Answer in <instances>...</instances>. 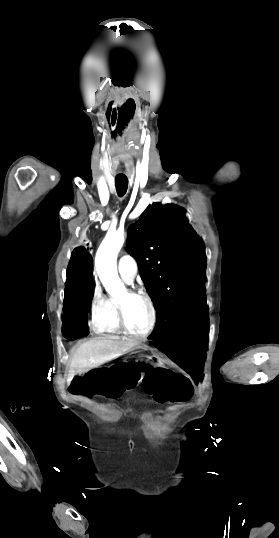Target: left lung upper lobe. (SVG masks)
<instances>
[{"label":"left lung upper lobe","mask_w":279,"mask_h":538,"mask_svg":"<svg viewBox=\"0 0 279 538\" xmlns=\"http://www.w3.org/2000/svg\"><path fill=\"white\" fill-rule=\"evenodd\" d=\"M184 210L153 203L128 229L127 251L156 309L150 336H170L206 307L204 245Z\"/></svg>","instance_id":"1"}]
</instances>
